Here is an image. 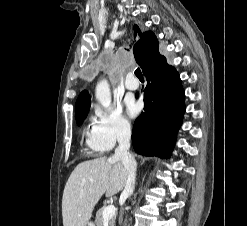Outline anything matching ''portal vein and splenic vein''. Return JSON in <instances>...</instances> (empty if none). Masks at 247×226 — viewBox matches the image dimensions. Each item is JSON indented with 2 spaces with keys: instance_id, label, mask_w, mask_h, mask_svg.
Here are the masks:
<instances>
[{
  "instance_id": "obj_1",
  "label": "portal vein and splenic vein",
  "mask_w": 247,
  "mask_h": 226,
  "mask_svg": "<svg viewBox=\"0 0 247 226\" xmlns=\"http://www.w3.org/2000/svg\"><path fill=\"white\" fill-rule=\"evenodd\" d=\"M116 213V208L114 205H108L105 210L103 211V219L104 220H109L111 219Z\"/></svg>"
}]
</instances>
